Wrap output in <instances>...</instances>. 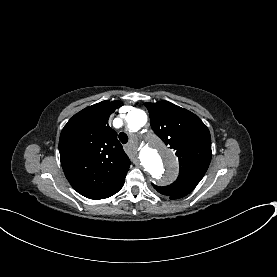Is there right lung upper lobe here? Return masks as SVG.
<instances>
[{"label": "right lung upper lobe", "mask_w": 277, "mask_h": 277, "mask_svg": "<svg viewBox=\"0 0 277 277\" xmlns=\"http://www.w3.org/2000/svg\"><path fill=\"white\" fill-rule=\"evenodd\" d=\"M119 101H102L75 114L59 140L61 165L71 186L90 199L108 198L123 186L130 160L109 127Z\"/></svg>", "instance_id": "right-lung-upper-lobe-1"}]
</instances>
